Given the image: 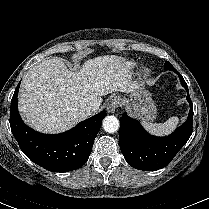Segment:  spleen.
<instances>
[{
	"label": "spleen",
	"instance_id": "1",
	"mask_svg": "<svg viewBox=\"0 0 209 209\" xmlns=\"http://www.w3.org/2000/svg\"><path fill=\"white\" fill-rule=\"evenodd\" d=\"M178 122L179 118L174 116L169 118L164 123L143 122V125L151 134L156 136H165L170 134L177 127Z\"/></svg>",
	"mask_w": 209,
	"mask_h": 209
}]
</instances>
